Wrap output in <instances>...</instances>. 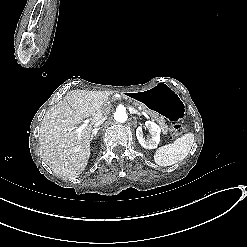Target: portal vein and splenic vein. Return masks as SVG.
<instances>
[{"mask_svg": "<svg viewBox=\"0 0 247 247\" xmlns=\"http://www.w3.org/2000/svg\"><path fill=\"white\" fill-rule=\"evenodd\" d=\"M141 114H142V115H145V116H146V119H149V114L146 113V112H144V110H141ZM88 122H89V119L84 120V123H85V124L88 123ZM85 124H83V125H81V126H79V127H76V128L72 131L73 133L78 134L79 140L81 139V133H82V131H83L84 128L86 127Z\"/></svg>", "mask_w": 247, "mask_h": 247, "instance_id": "obj_1", "label": "portal vein and splenic vein"}]
</instances>
